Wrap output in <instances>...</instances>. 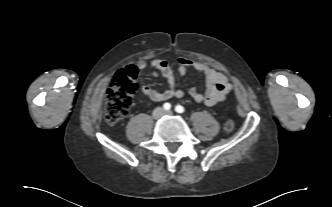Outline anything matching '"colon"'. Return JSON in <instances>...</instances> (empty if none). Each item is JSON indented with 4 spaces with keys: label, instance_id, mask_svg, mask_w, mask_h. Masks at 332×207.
I'll return each instance as SVG.
<instances>
[{
    "label": "colon",
    "instance_id": "obj_1",
    "mask_svg": "<svg viewBox=\"0 0 332 207\" xmlns=\"http://www.w3.org/2000/svg\"><path fill=\"white\" fill-rule=\"evenodd\" d=\"M137 70L133 66L119 69L113 76L107 89L105 103V119L115 124L123 119L129 112L133 96L137 92ZM235 127L233 120L226 121L224 128L232 131Z\"/></svg>",
    "mask_w": 332,
    "mask_h": 207
}]
</instances>
